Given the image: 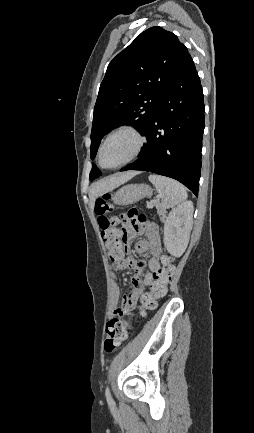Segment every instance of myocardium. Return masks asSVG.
I'll return each mask as SVG.
<instances>
[{"instance_id":"myocardium-1","label":"myocardium","mask_w":254,"mask_h":433,"mask_svg":"<svg viewBox=\"0 0 254 433\" xmlns=\"http://www.w3.org/2000/svg\"><path fill=\"white\" fill-rule=\"evenodd\" d=\"M120 133H129L132 136H134L136 138V140H137L136 148L133 151V153L126 160H124L123 162H121V163H119V164H117L115 166H111V167L105 166V165L102 164V151H103V148H104L105 144L107 143V141L111 137H113V136H115L117 134H120ZM145 144H146V138L141 133V131L139 129H137L135 126L129 125V124L122 125V126L116 128L115 130H113L112 132H110L103 139V141H102V143H101V145L99 147V150H98V163H99V165L102 168L108 169V170H113V169H117V168L123 167V166L129 164L130 162L134 161L141 154V152L144 149Z\"/></svg>"}]
</instances>
